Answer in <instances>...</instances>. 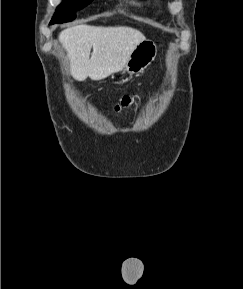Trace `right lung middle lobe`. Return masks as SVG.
<instances>
[{"mask_svg":"<svg viewBox=\"0 0 243 289\" xmlns=\"http://www.w3.org/2000/svg\"><path fill=\"white\" fill-rule=\"evenodd\" d=\"M92 1L93 0H63V3L56 8V12L50 24L64 23L75 19V12Z\"/></svg>","mask_w":243,"mask_h":289,"instance_id":"right-lung-middle-lobe-1","label":"right lung middle lobe"}]
</instances>
